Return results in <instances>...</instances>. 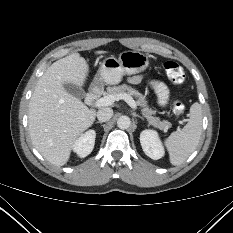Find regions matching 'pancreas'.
Instances as JSON below:
<instances>
[{
	"label": "pancreas",
	"mask_w": 233,
	"mask_h": 233,
	"mask_svg": "<svg viewBox=\"0 0 233 233\" xmlns=\"http://www.w3.org/2000/svg\"><path fill=\"white\" fill-rule=\"evenodd\" d=\"M124 93L137 97V104L142 107V115L147 119L150 125L164 131H167L170 128L171 123L166 120L161 121L158 117H155L154 115L156 114V111L148 107L145 96L131 86L122 84L119 86L108 87L106 95H118Z\"/></svg>",
	"instance_id": "1"
}]
</instances>
